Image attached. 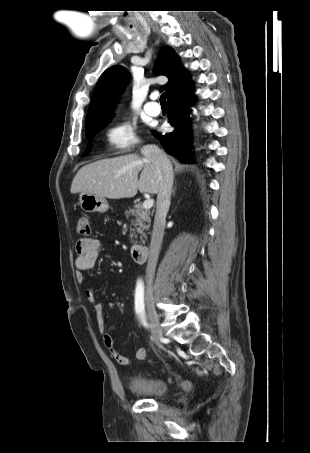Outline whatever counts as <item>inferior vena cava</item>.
I'll return each mask as SVG.
<instances>
[{"instance_id":"602c4592","label":"inferior vena cava","mask_w":310,"mask_h":453,"mask_svg":"<svg viewBox=\"0 0 310 453\" xmlns=\"http://www.w3.org/2000/svg\"><path fill=\"white\" fill-rule=\"evenodd\" d=\"M141 153L146 160L152 162L160 174V188L157 195L156 213L150 242L149 258L146 267L147 275L153 276L163 240L165 219L170 207L173 186V168L167 155L156 145L143 146Z\"/></svg>"}]
</instances>
